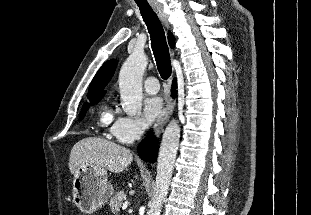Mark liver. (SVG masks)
<instances>
[{
    "mask_svg": "<svg viewBox=\"0 0 311 215\" xmlns=\"http://www.w3.org/2000/svg\"><path fill=\"white\" fill-rule=\"evenodd\" d=\"M133 160L129 149L99 137H88L78 141L69 157V170L76 173L80 167H93L120 173Z\"/></svg>",
    "mask_w": 311,
    "mask_h": 215,
    "instance_id": "1",
    "label": "liver"
}]
</instances>
